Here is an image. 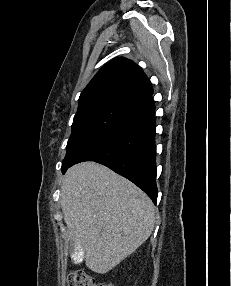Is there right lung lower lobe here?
<instances>
[{"label": "right lung lower lobe", "instance_id": "right-lung-lower-lobe-1", "mask_svg": "<svg viewBox=\"0 0 231 286\" xmlns=\"http://www.w3.org/2000/svg\"><path fill=\"white\" fill-rule=\"evenodd\" d=\"M155 105L152 95L135 110V115L103 135L62 172L83 161L101 163L126 177L157 202L155 161Z\"/></svg>", "mask_w": 231, "mask_h": 286}]
</instances>
